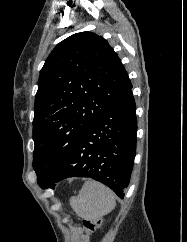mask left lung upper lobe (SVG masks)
<instances>
[{
  "mask_svg": "<svg viewBox=\"0 0 187 242\" xmlns=\"http://www.w3.org/2000/svg\"><path fill=\"white\" fill-rule=\"evenodd\" d=\"M132 87L108 42L91 32L71 35L50 53L35 96L33 167L51 173L88 127Z\"/></svg>",
  "mask_w": 187,
  "mask_h": 242,
  "instance_id": "5c2ea615",
  "label": "left lung upper lobe"
}]
</instances>
